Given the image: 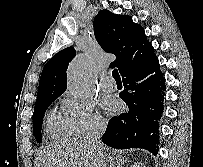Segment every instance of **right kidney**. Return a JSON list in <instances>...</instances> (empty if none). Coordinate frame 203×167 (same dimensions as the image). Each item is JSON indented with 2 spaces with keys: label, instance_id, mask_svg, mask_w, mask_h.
Listing matches in <instances>:
<instances>
[{
  "label": "right kidney",
  "instance_id": "1",
  "mask_svg": "<svg viewBox=\"0 0 203 167\" xmlns=\"http://www.w3.org/2000/svg\"><path fill=\"white\" fill-rule=\"evenodd\" d=\"M132 167H146L143 163H136Z\"/></svg>",
  "mask_w": 203,
  "mask_h": 167
}]
</instances>
